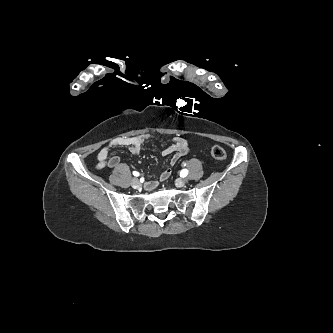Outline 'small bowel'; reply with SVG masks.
Here are the masks:
<instances>
[{
	"instance_id": "small-bowel-1",
	"label": "small bowel",
	"mask_w": 333,
	"mask_h": 333,
	"mask_svg": "<svg viewBox=\"0 0 333 333\" xmlns=\"http://www.w3.org/2000/svg\"><path fill=\"white\" fill-rule=\"evenodd\" d=\"M148 139L147 135H138L133 137H118L113 139L109 144L103 147L97 154L96 168L103 170L106 167L115 168L120 164L118 156L110 157V151L116 148H127L132 154H138L141 150L143 143ZM189 151L188 143L184 138L176 137L173 139L172 144L162 151L165 156L171 155V165H175L179 159L186 155ZM171 175L170 169H165L160 174V181H166ZM158 182L149 180L146 188L153 191L157 188Z\"/></svg>"
}]
</instances>
